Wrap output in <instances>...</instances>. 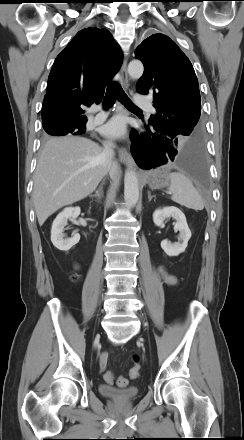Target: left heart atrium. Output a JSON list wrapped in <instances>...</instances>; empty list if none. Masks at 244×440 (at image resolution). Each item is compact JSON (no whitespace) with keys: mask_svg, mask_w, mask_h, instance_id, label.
Wrapping results in <instances>:
<instances>
[{"mask_svg":"<svg viewBox=\"0 0 244 440\" xmlns=\"http://www.w3.org/2000/svg\"><path fill=\"white\" fill-rule=\"evenodd\" d=\"M101 133L110 139H120L126 134V120L123 116H115L100 128Z\"/></svg>","mask_w":244,"mask_h":440,"instance_id":"obj_1","label":"left heart atrium"}]
</instances>
